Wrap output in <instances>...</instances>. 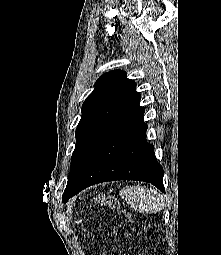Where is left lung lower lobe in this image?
<instances>
[{"label": "left lung lower lobe", "mask_w": 221, "mask_h": 255, "mask_svg": "<svg viewBox=\"0 0 221 255\" xmlns=\"http://www.w3.org/2000/svg\"><path fill=\"white\" fill-rule=\"evenodd\" d=\"M144 108L139 105L120 121L97 147L85 166L70 197L106 181L150 182L164 192L163 168L156 161L154 147L146 142Z\"/></svg>", "instance_id": "0a47b994"}]
</instances>
